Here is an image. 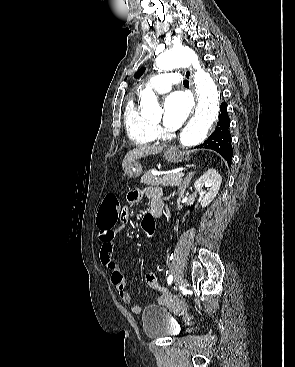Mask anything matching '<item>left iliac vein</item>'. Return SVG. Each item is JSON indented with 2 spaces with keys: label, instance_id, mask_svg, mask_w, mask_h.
Instances as JSON below:
<instances>
[{
  "label": "left iliac vein",
  "instance_id": "1",
  "mask_svg": "<svg viewBox=\"0 0 295 367\" xmlns=\"http://www.w3.org/2000/svg\"><path fill=\"white\" fill-rule=\"evenodd\" d=\"M187 286H188V282H187V280H186L185 278L181 279V280H180V287H181L182 289H186V288H187Z\"/></svg>",
  "mask_w": 295,
  "mask_h": 367
}]
</instances>
